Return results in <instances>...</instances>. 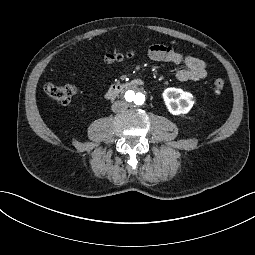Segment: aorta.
Returning <instances> with one entry per match:
<instances>
[{
    "mask_svg": "<svg viewBox=\"0 0 255 255\" xmlns=\"http://www.w3.org/2000/svg\"><path fill=\"white\" fill-rule=\"evenodd\" d=\"M125 100L130 106L139 107L145 103V95L139 88H129L125 92Z\"/></svg>",
    "mask_w": 255,
    "mask_h": 255,
    "instance_id": "1",
    "label": "aorta"
}]
</instances>
